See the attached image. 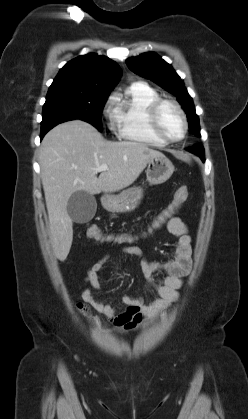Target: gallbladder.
Here are the masks:
<instances>
[{
	"label": "gallbladder",
	"mask_w": 248,
	"mask_h": 419,
	"mask_svg": "<svg viewBox=\"0 0 248 419\" xmlns=\"http://www.w3.org/2000/svg\"><path fill=\"white\" fill-rule=\"evenodd\" d=\"M97 203L95 197L86 191L74 192L68 200L67 212L76 223H87L95 215Z\"/></svg>",
	"instance_id": "obj_1"
}]
</instances>
